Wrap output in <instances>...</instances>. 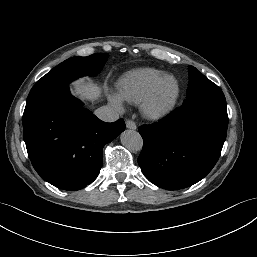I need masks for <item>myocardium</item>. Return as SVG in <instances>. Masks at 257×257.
I'll use <instances>...</instances> for the list:
<instances>
[{
	"label": "myocardium",
	"instance_id": "1",
	"mask_svg": "<svg viewBox=\"0 0 257 257\" xmlns=\"http://www.w3.org/2000/svg\"><path fill=\"white\" fill-rule=\"evenodd\" d=\"M167 79L176 82V91L172 98L162 107H156V101L163 83ZM181 94V84L178 78L172 74H165L152 87L146 98L141 103L143 115L150 120H161L168 116L175 108Z\"/></svg>",
	"mask_w": 257,
	"mask_h": 257
}]
</instances>
